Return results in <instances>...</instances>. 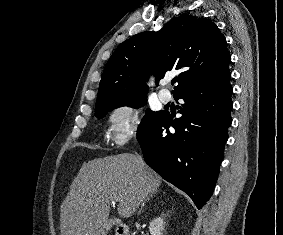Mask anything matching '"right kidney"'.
<instances>
[{
  "label": "right kidney",
  "instance_id": "right-kidney-1",
  "mask_svg": "<svg viewBox=\"0 0 283 235\" xmlns=\"http://www.w3.org/2000/svg\"><path fill=\"white\" fill-rule=\"evenodd\" d=\"M164 220L161 217L155 218L150 222L149 231L151 235H163Z\"/></svg>",
  "mask_w": 283,
  "mask_h": 235
}]
</instances>
